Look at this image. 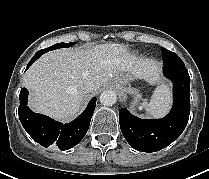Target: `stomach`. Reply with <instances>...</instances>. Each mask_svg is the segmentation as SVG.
I'll list each match as a JSON object with an SVG mask.
<instances>
[{
    "label": "stomach",
    "mask_w": 209,
    "mask_h": 179,
    "mask_svg": "<svg viewBox=\"0 0 209 179\" xmlns=\"http://www.w3.org/2000/svg\"><path fill=\"white\" fill-rule=\"evenodd\" d=\"M133 80L132 76L128 73L122 74L119 76L117 82L119 83L121 90L124 91L126 89V86L129 84V82Z\"/></svg>",
    "instance_id": "obj_1"
}]
</instances>
